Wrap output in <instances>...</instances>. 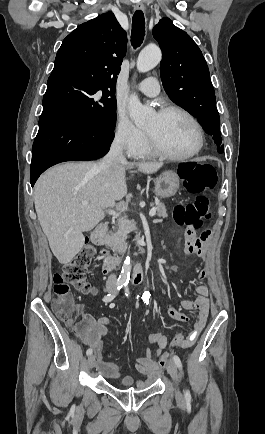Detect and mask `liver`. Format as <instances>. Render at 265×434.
<instances>
[{
  "mask_svg": "<svg viewBox=\"0 0 265 434\" xmlns=\"http://www.w3.org/2000/svg\"><path fill=\"white\" fill-rule=\"evenodd\" d=\"M98 162L61 164L40 176L34 188V204L40 226L59 264H69L84 246L82 232L93 230L104 210L114 208L127 194L125 170L134 164H118L107 172ZM138 172L154 174L163 162H137ZM82 200L89 202L82 206Z\"/></svg>",
  "mask_w": 265,
  "mask_h": 434,
  "instance_id": "obj_1",
  "label": "liver"
}]
</instances>
